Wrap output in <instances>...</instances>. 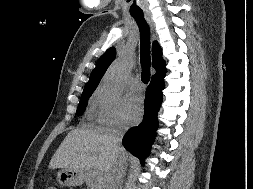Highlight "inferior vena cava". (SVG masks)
<instances>
[{
    "mask_svg": "<svg viewBox=\"0 0 253 189\" xmlns=\"http://www.w3.org/2000/svg\"><path fill=\"white\" fill-rule=\"evenodd\" d=\"M124 129L113 131L111 136L114 148L118 149L116 159L118 160L107 173L103 180L102 189H118L121 179L125 175L126 166L129 163L130 151L128 149H120Z\"/></svg>",
    "mask_w": 253,
    "mask_h": 189,
    "instance_id": "obj_1",
    "label": "inferior vena cava"
}]
</instances>
